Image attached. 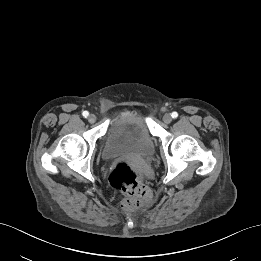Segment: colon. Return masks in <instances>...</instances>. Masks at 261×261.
Listing matches in <instances>:
<instances>
[{
  "label": "colon",
  "instance_id": "obj_1",
  "mask_svg": "<svg viewBox=\"0 0 261 261\" xmlns=\"http://www.w3.org/2000/svg\"><path fill=\"white\" fill-rule=\"evenodd\" d=\"M110 185L124 195L123 206L138 208L145 206L151 192L143 177L126 162L118 163L109 176Z\"/></svg>",
  "mask_w": 261,
  "mask_h": 261
}]
</instances>
